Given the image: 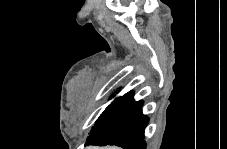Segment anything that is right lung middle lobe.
I'll return each instance as SVG.
<instances>
[{"label":"right lung middle lobe","instance_id":"right-lung-middle-lobe-1","mask_svg":"<svg viewBox=\"0 0 227 149\" xmlns=\"http://www.w3.org/2000/svg\"><path fill=\"white\" fill-rule=\"evenodd\" d=\"M134 102L133 92L130 91L123 95L122 97L116 98L101 114L99 119L96 121V124L91 130V134L96 131L101 126L115 120L120 115H122L128 107Z\"/></svg>","mask_w":227,"mask_h":149}]
</instances>
